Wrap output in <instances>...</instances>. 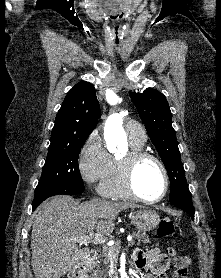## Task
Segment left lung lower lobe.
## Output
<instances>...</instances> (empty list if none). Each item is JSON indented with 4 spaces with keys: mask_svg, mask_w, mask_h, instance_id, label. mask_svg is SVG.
Returning <instances> with one entry per match:
<instances>
[{
    "mask_svg": "<svg viewBox=\"0 0 221 278\" xmlns=\"http://www.w3.org/2000/svg\"><path fill=\"white\" fill-rule=\"evenodd\" d=\"M171 204L181 208L182 210H184L185 212H187L192 219H194V207L192 204V197H183L180 199H177L175 201L170 202Z\"/></svg>",
    "mask_w": 221,
    "mask_h": 278,
    "instance_id": "obj_1",
    "label": "left lung lower lobe"
}]
</instances>
